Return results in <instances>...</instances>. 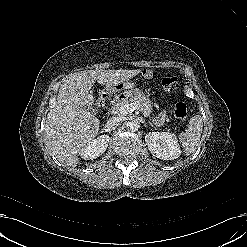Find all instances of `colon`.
<instances>
[{"instance_id":"5ec220e1","label":"colon","mask_w":247,"mask_h":247,"mask_svg":"<svg viewBox=\"0 0 247 247\" xmlns=\"http://www.w3.org/2000/svg\"><path fill=\"white\" fill-rule=\"evenodd\" d=\"M161 84L166 92H176L180 89V82L178 78L174 76L162 78ZM173 113L177 118L185 120L188 114L186 104L184 102H176L173 105Z\"/></svg>"}]
</instances>
